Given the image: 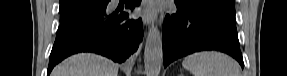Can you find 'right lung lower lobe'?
Segmentation results:
<instances>
[{"mask_svg": "<svg viewBox=\"0 0 287 76\" xmlns=\"http://www.w3.org/2000/svg\"><path fill=\"white\" fill-rule=\"evenodd\" d=\"M110 0L99 7L60 24L53 45L47 75L64 58L78 52H94L124 62L133 54L143 37L142 19L128 20V13H109ZM141 0H127L126 8L133 9Z\"/></svg>", "mask_w": 287, "mask_h": 76, "instance_id": "98d812e1", "label": "right lung lower lobe"}]
</instances>
